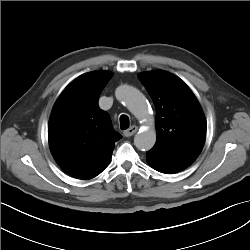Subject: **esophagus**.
<instances>
[{"label":"esophagus","instance_id":"1","mask_svg":"<svg viewBox=\"0 0 250 250\" xmlns=\"http://www.w3.org/2000/svg\"><path fill=\"white\" fill-rule=\"evenodd\" d=\"M138 130V127L133 125L130 128H128L127 130L124 131V136L125 137H131L132 135H134Z\"/></svg>","mask_w":250,"mask_h":250}]
</instances>
